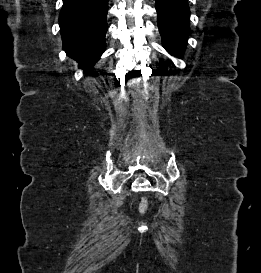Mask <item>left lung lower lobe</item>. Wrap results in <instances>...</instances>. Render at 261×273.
Instances as JSON below:
<instances>
[{"instance_id":"0a47b994","label":"left lung lower lobe","mask_w":261,"mask_h":273,"mask_svg":"<svg viewBox=\"0 0 261 273\" xmlns=\"http://www.w3.org/2000/svg\"><path fill=\"white\" fill-rule=\"evenodd\" d=\"M155 8L163 47L172 55L181 57L190 31L187 0H156Z\"/></svg>"}]
</instances>
